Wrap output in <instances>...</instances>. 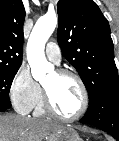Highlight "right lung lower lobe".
Listing matches in <instances>:
<instances>
[{
  "label": "right lung lower lobe",
  "mask_w": 119,
  "mask_h": 141,
  "mask_svg": "<svg viewBox=\"0 0 119 141\" xmlns=\"http://www.w3.org/2000/svg\"><path fill=\"white\" fill-rule=\"evenodd\" d=\"M10 106H5L3 104H0V112L6 111Z\"/></svg>",
  "instance_id": "right-lung-lower-lobe-1"
}]
</instances>
